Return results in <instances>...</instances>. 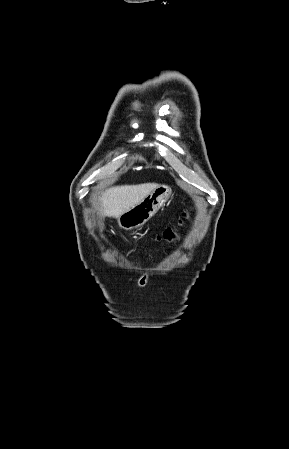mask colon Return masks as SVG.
Segmentation results:
<instances>
[{
	"label": "colon",
	"mask_w": 289,
	"mask_h": 449,
	"mask_svg": "<svg viewBox=\"0 0 289 449\" xmlns=\"http://www.w3.org/2000/svg\"><path fill=\"white\" fill-rule=\"evenodd\" d=\"M183 216L186 217L187 214L185 213ZM179 223H182V220H181V219L179 220ZM174 236H175V235H174L173 228L168 227V228H166V229L162 232V234L156 236V240H158V241H160V240H171V239L174 238Z\"/></svg>",
	"instance_id": "obj_1"
}]
</instances>
